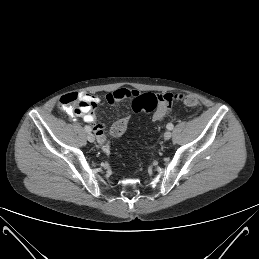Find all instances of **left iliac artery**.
Returning a JSON list of instances; mask_svg holds the SVG:
<instances>
[{
	"label": "left iliac artery",
	"mask_w": 259,
	"mask_h": 259,
	"mask_svg": "<svg viewBox=\"0 0 259 259\" xmlns=\"http://www.w3.org/2000/svg\"><path fill=\"white\" fill-rule=\"evenodd\" d=\"M173 127H174V125H173L172 123H168L167 126H166V128H167L168 130H172Z\"/></svg>",
	"instance_id": "44dca946"
}]
</instances>
